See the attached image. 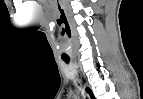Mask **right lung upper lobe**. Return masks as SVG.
Instances as JSON below:
<instances>
[{
	"label": "right lung upper lobe",
	"mask_w": 143,
	"mask_h": 99,
	"mask_svg": "<svg viewBox=\"0 0 143 99\" xmlns=\"http://www.w3.org/2000/svg\"><path fill=\"white\" fill-rule=\"evenodd\" d=\"M87 91L90 94L91 98L94 99V95H93L92 91L89 88H87Z\"/></svg>",
	"instance_id": "obj_1"
}]
</instances>
